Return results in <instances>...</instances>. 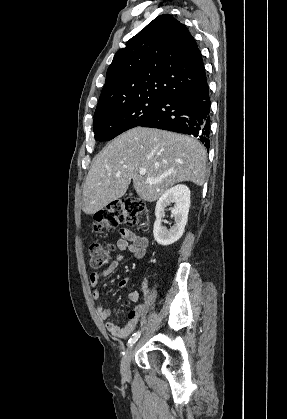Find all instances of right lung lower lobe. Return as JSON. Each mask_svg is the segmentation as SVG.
<instances>
[{
	"instance_id": "obj_1",
	"label": "right lung lower lobe",
	"mask_w": 287,
	"mask_h": 419,
	"mask_svg": "<svg viewBox=\"0 0 287 419\" xmlns=\"http://www.w3.org/2000/svg\"><path fill=\"white\" fill-rule=\"evenodd\" d=\"M211 101L207 78L166 95L139 126L197 137L209 149Z\"/></svg>"
}]
</instances>
